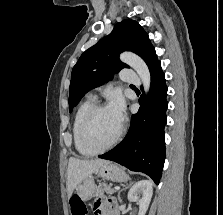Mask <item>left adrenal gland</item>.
<instances>
[{
    "mask_svg": "<svg viewBox=\"0 0 223 215\" xmlns=\"http://www.w3.org/2000/svg\"><path fill=\"white\" fill-rule=\"evenodd\" d=\"M129 185H131V183H129ZM129 185H124L123 189H127V187H129ZM123 189H120V191H118V195H117V197H118L120 203H121V201H122V199H121V197H120V193H121V191H123Z\"/></svg>",
    "mask_w": 223,
    "mask_h": 215,
    "instance_id": "1",
    "label": "left adrenal gland"
}]
</instances>
